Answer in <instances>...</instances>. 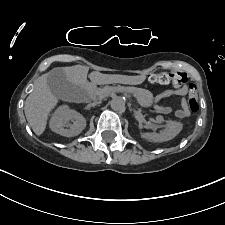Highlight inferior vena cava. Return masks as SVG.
Segmentation results:
<instances>
[{
  "instance_id": "obj_1",
  "label": "inferior vena cava",
  "mask_w": 225,
  "mask_h": 225,
  "mask_svg": "<svg viewBox=\"0 0 225 225\" xmlns=\"http://www.w3.org/2000/svg\"><path fill=\"white\" fill-rule=\"evenodd\" d=\"M102 96L94 98L93 102L89 103L87 107H93L101 103Z\"/></svg>"
}]
</instances>
